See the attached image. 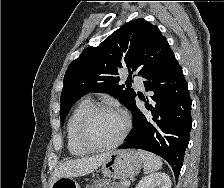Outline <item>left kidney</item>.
Here are the masks:
<instances>
[{
	"label": "left kidney",
	"mask_w": 224,
	"mask_h": 188,
	"mask_svg": "<svg viewBox=\"0 0 224 188\" xmlns=\"http://www.w3.org/2000/svg\"><path fill=\"white\" fill-rule=\"evenodd\" d=\"M171 179L166 173H154L143 177L136 188H171Z\"/></svg>",
	"instance_id": "obj_1"
}]
</instances>
